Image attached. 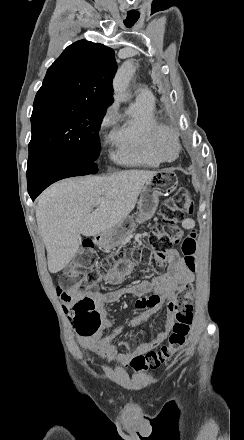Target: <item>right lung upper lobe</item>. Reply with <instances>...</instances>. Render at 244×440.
<instances>
[{"label":"right lung upper lobe","mask_w":244,"mask_h":440,"mask_svg":"<svg viewBox=\"0 0 244 440\" xmlns=\"http://www.w3.org/2000/svg\"><path fill=\"white\" fill-rule=\"evenodd\" d=\"M116 69L113 49L77 41L49 67L35 101H85L108 108Z\"/></svg>","instance_id":"right-lung-upper-lobe-1"}]
</instances>
